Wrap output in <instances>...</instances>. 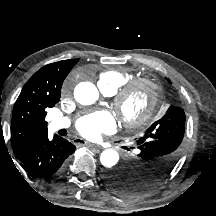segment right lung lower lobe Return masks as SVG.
Here are the masks:
<instances>
[{
	"label": "right lung lower lobe",
	"instance_id": "98d812e1",
	"mask_svg": "<svg viewBox=\"0 0 216 216\" xmlns=\"http://www.w3.org/2000/svg\"><path fill=\"white\" fill-rule=\"evenodd\" d=\"M76 147L66 139L55 136L48 139V133L36 138L18 156L22 167L31 175L49 179L59 174L68 156Z\"/></svg>",
	"mask_w": 216,
	"mask_h": 216
}]
</instances>
